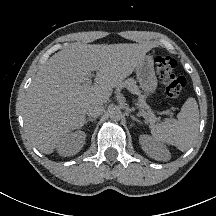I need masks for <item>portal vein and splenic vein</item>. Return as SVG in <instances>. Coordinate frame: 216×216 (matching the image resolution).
Listing matches in <instances>:
<instances>
[{
    "mask_svg": "<svg viewBox=\"0 0 216 216\" xmlns=\"http://www.w3.org/2000/svg\"><path fill=\"white\" fill-rule=\"evenodd\" d=\"M97 69H94V71H96ZM92 84V79L91 78H88L85 82H84V84L82 85V87H86V86H89V85H91ZM139 115L141 116L142 114L141 113H139Z\"/></svg>",
    "mask_w": 216,
    "mask_h": 216,
    "instance_id": "obj_1",
    "label": "portal vein and splenic vein"
}]
</instances>
